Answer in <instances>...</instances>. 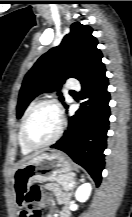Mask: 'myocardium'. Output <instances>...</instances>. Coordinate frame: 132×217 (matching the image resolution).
Returning <instances> with one entry per match:
<instances>
[{
    "instance_id": "f54148a6",
    "label": "myocardium",
    "mask_w": 132,
    "mask_h": 217,
    "mask_svg": "<svg viewBox=\"0 0 132 217\" xmlns=\"http://www.w3.org/2000/svg\"><path fill=\"white\" fill-rule=\"evenodd\" d=\"M45 105H50V106L54 107L56 109V111L58 112L59 117H60L59 127H58V130H57L55 136L52 139H50L49 141H47L45 143L34 144V143L30 142L28 137H27V127H28L29 121L31 120L34 113L40 107L45 106ZM64 127H65V118H64L63 111H62L61 107L59 106V104L53 99H44V100H41V101L35 103L32 106V108L30 109V111L28 112V114H27V116H26V118L22 124L21 139H22L23 144L31 150H38V149L46 148L48 146L53 145L61 138L63 131H64Z\"/></svg>"
}]
</instances>
